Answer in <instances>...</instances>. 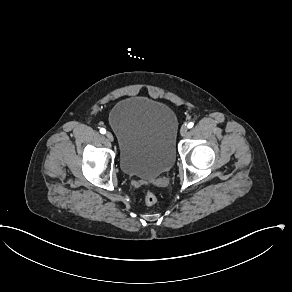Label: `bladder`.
Masks as SVG:
<instances>
[{"mask_svg": "<svg viewBox=\"0 0 292 292\" xmlns=\"http://www.w3.org/2000/svg\"><path fill=\"white\" fill-rule=\"evenodd\" d=\"M109 124L125 174L152 179L173 166L178 119L165 103L143 96L123 98L111 110Z\"/></svg>", "mask_w": 292, "mask_h": 292, "instance_id": "1", "label": "bladder"}]
</instances>
